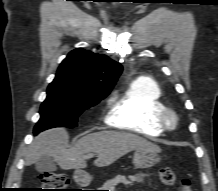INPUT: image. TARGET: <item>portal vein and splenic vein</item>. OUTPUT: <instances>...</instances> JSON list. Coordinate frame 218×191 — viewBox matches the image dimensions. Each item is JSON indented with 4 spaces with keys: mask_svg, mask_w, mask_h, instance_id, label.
Returning <instances> with one entry per match:
<instances>
[{
    "mask_svg": "<svg viewBox=\"0 0 218 191\" xmlns=\"http://www.w3.org/2000/svg\"><path fill=\"white\" fill-rule=\"evenodd\" d=\"M93 156H94V154H88V155H87L88 158H91V157H93Z\"/></svg>",
    "mask_w": 218,
    "mask_h": 191,
    "instance_id": "1",
    "label": "portal vein and splenic vein"
}]
</instances>
